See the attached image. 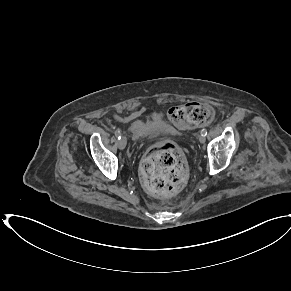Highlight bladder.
<instances>
[{
    "instance_id": "31cf9c89",
    "label": "bladder",
    "mask_w": 291,
    "mask_h": 291,
    "mask_svg": "<svg viewBox=\"0 0 291 291\" xmlns=\"http://www.w3.org/2000/svg\"><path fill=\"white\" fill-rule=\"evenodd\" d=\"M162 124H164V120L160 116H151L148 121L132 120L129 124V131L132 136L140 139L159 131Z\"/></svg>"
}]
</instances>
